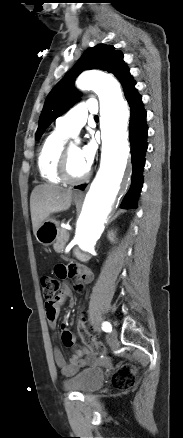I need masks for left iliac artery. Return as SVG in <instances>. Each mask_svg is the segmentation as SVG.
I'll return each mask as SVG.
<instances>
[{"mask_svg": "<svg viewBox=\"0 0 183 438\" xmlns=\"http://www.w3.org/2000/svg\"><path fill=\"white\" fill-rule=\"evenodd\" d=\"M102 330L105 332H111L112 331V326L109 322L105 321L102 323Z\"/></svg>", "mask_w": 183, "mask_h": 438, "instance_id": "left-iliac-artery-1", "label": "left iliac artery"}]
</instances>
